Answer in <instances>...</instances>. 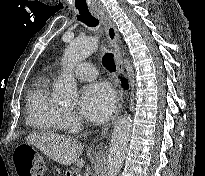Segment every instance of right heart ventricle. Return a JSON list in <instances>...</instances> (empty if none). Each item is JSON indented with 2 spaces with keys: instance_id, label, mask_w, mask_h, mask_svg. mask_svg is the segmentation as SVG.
<instances>
[{
  "instance_id": "obj_1",
  "label": "right heart ventricle",
  "mask_w": 205,
  "mask_h": 176,
  "mask_svg": "<svg viewBox=\"0 0 205 176\" xmlns=\"http://www.w3.org/2000/svg\"><path fill=\"white\" fill-rule=\"evenodd\" d=\"M28 122L31 127L52 135H60L65 130L63 107L50 91V78H37L27 97Z\"/></svg>"
}]
</instances>
